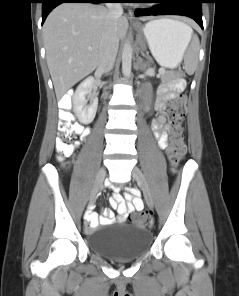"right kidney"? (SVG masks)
I'll return each mask as SVG.
<instances>
[{
	"instance_id": "obj_1",
	"label": "right kidney",
	"mask_w": 239,
	"mask_h": 296,
	"mask_svg": "<svg viewBox=\"0 0 239 296\" xmlns=\"http://www.w3.org/2000/svg\"><path fill=\"white\" fill-rule=\"evenodd\" d=\"M94 82L93 77L86 78L79 84L72 98L75 114L83 124L92 122L96 115L98 98L92 93ZM88 101L90 104H87Z\"/></svg>"
}]
</instances>
